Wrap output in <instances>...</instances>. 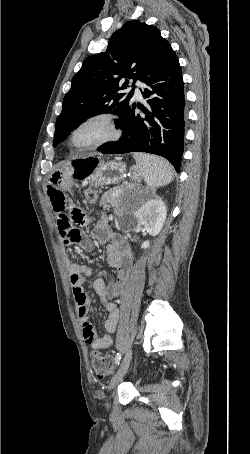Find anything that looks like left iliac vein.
Masks as SVG:
<instances>
[{
  "mask_svg": "<svg viewBox=\"0 0 250 454\" xmlns=\"http://www.w3.org/2000/svg\"><path fill=\"white\" fill-rule=\"evenodd\" d=\"M131 359H132V350L129 349L127 351V353L125 354L116 374L111 379V382L109 384V390L114 389L117 386V384L123 379V377L125 376L128 368H129Z\"/></svg>",
  "mask_w": 250,
  "mask_h": 454,
  "instance_id": "obj_1",
  "label": "left iliac vein"
}]
</instances>
